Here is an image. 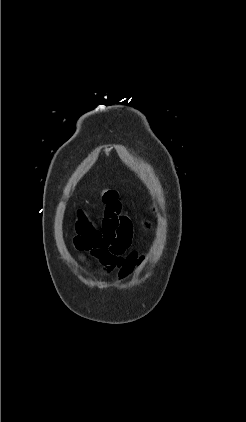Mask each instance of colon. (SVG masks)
I'll return each instance as SVG.
<instances>
[{
    "mask_svg": "<svg viewBox=\"0 0 246 422\" xmlns=\"http://www.w3.org/2000/svg\"><path fill=\"white\" fill-rule=\"evenodd\" d=\"M118 192L113 189H107L102 195V201L107 205L118 203ZM76 227L79 232H85L91 229V224L87 220L84 212L82 210L78 211V220L76 222Z\"/></svg>",
    "mask_w": 246,
    "mask_h": 422,
    "instance_id": "5ec220e1",
    "label": "colon"
}]
</instances>
